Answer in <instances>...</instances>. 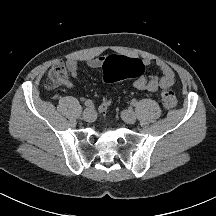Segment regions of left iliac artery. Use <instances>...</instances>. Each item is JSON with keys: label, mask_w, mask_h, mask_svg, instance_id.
Instances as JSON below:
<instances>
[{"label": "left iliac artery", "mask_w": 216, "mask_h": 216, "mask_svg": "<svg viewBox=\"0 0 216 216\" xmlns=\"http://www.w3.org/2000/svg\"><path fill=\"white\" fill-rule=\"evenodd\" d=\"M131 104H132L133 106H136V105H137V100H136V99H133L132 102H131Z\"/></svg>", "instance_id": "44dca946"}]
</instances>
